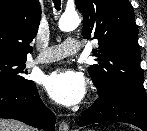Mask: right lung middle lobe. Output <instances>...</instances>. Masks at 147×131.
I'll return each mask as SVG.
<instances>
[{"mask_svg":"<svg viewBox=\"0 0 147 131\" xmlns=\"http://www.w3.org/2000/svg\"><path fill=\"white\" fill-rule=\"evenodd\" d=\"M26 59L0 57V86H27L33 81L25 78Z\"/></svg>","mask_w":147,"mask_h":131,"instance_id":"right-lung-middle-lobe-1","label":"right lung middle lobe"}]
</instances>
